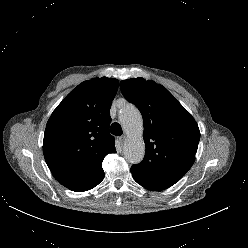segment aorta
I'll use <instances>...</instances> for the list:
<instances>
[{"instance_id":"obj_1","label":"aorta","mask_w":248,"mask_h":248,"mask_svg":"<svg viewBox=\"0 0 248 248\" xmlns=\"http://www.w3.org/2000/svg\"><path fill=\"white\" fill-rule=\"evenodd\" d=\"M119 119L127 135L123 147L124 156L130 163H139L145 154L142 116L133 105H127L121 109Z\"/></svg>"}]
</instances>
